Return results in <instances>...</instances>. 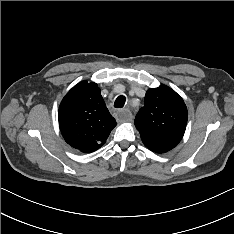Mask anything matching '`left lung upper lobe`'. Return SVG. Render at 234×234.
<instances>
[{
  "mask_svg": "<svg viewBox=\"0 0 234 234\" xmlns=\"http://www.w3.org/2000/svg\"><path fill=\"white\" fill-rule=\"evenodd\" d=\"M188 119L183 99L171 88L160 85L147 90L144 107L135 118L143 143L168 140L178 144Z\"/></svg>",
  "mask_w": 234,
  "mask_h": 234,
  "instance_id": "5c2ea615",
  "label": "left lung upper lobe"
}]
</instances>
